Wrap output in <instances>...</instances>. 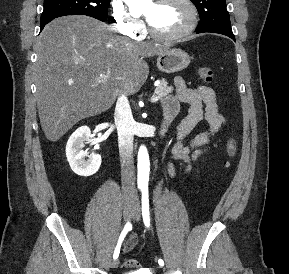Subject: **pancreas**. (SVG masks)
<instances>
[{"instance_id":"1","label":"pancreas","mask_w":289,"mask_h":274,"mask_svg":"<svg viewBox=\"0 0 289 274\" xmlns=\"http://www.w3.org/2000/svg\"><path fill=\"white\" fill-rule=\"evenodd\" d=\"M172 91H173V87L168 86V83L166 82V80L162 79L160 84L155 89V94L159 98H164L168 96L170 93H172Z\"/></svg>"}]
</instances>
